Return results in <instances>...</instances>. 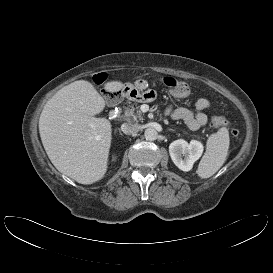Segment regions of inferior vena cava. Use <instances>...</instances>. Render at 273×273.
<instances>
[{
  "mask_svg": "<svg viewBox=\"0 0 273 273\" xmlns=\"http://www.w3.org/2000/svg\"><path fill=\"white\" fill-rule=\"evenodd\" d=\"M121 130L126 135H133L139 131V126L136 124L124 123L121 125Z\"/></svg>",
  "mask_w": 273,
  "mask_h": 273,
  "instance_id": "1",
  "label": "inferior vena cava"
}]
</instances>
